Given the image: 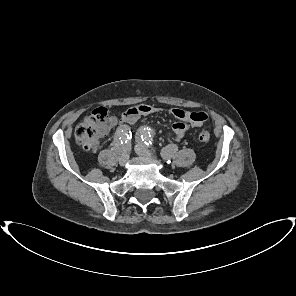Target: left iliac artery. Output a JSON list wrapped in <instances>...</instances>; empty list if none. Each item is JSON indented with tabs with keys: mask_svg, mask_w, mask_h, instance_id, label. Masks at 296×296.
Wrapping results in <instances>:
<instances>
[{
	"mask_svg": "<svg viewBox=\"0 0 296 296\" xmlns=\"http://www.w3.org/2000/svg\"><path fill=\"white\" fill-rule=\"evenodd\" d=\"M136 139L138 142L143 141L147 146H151L152 145V133L150 132V129H140L137 133H136Z\"/></svg>",
	"mask_w": 296,
	"mask_h": 296,
	"instance_id": "44dca946",
	"label": "left iliac artery"
}]
</instances>
